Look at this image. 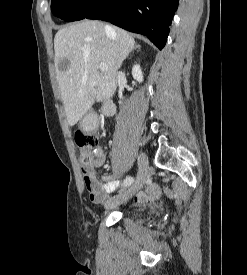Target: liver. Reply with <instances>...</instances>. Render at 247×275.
Listing matches in <instances>:
<instances>
[{"label":"liver","instance_id":"obj_1","mask_svg":"<svg viewBox=\"0 0 247 275\" xmlns=\"http://www.w3.org/2000/svg\"><path fill=\"white\" fill-rule=\"evenodd\" d=\"M99 21H82L64 27L55 35V70L68 124L74 126L95 101L111 98L117 88V73L136 47L125 30ZM104 63L108 69L99 72Z\"/></svg>","mask_w":247,"mask_h":275}]
</instances>
